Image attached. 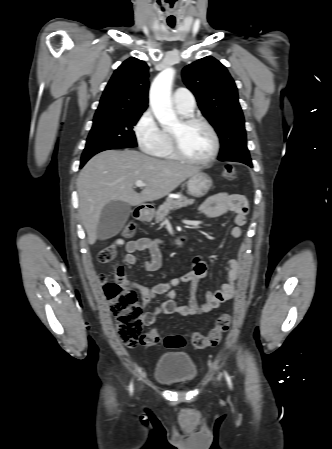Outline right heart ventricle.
I'll list each match as a JSON object with an SVG mask.
<instances>
[{
    "label": "right heart ventricle",
    "mask_w": 332,
    "mask_h": 449,
    "mask_svg": "<svg viewBox=\"0 0 332 449\" xmlns=\"http://www.w3.org/2000/svg\"><path fill=\"white\" fill-rule=\"evenodd\" d=\"M178 112L183 115H186V114L180 112L179 110H178ZM154 155H156L157 157H160V158H164V159H170V160L176 159V157L172 151L169 133L164 132V141H163L162 145L160 146V148L155 152Z\"/></svg>",
    "instance_id": "e07e8e85"
}]
</instances>
